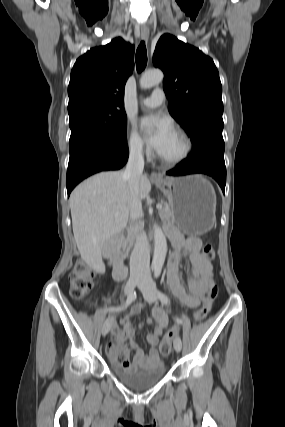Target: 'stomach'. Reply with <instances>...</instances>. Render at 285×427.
<instances>
[{
    "instance_id": "1",
    "label": "stomach",
    "mask_w": 285,
    "mask_h": 427,
    "mask_svg": "<svg viewBox=\"0 0 285 427\" xmlns=\"http://www.w3.org/2000/svg\"><path fill=\"white\" fill-rule=\"evenodd\" d=\"M156 185L168 199L172 222L183 233L202 235L213 227L216 194L203 176L169 178Z\"/></svg>"
}]
</instances>
